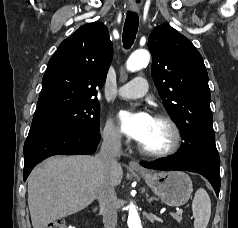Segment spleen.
<instances>
[{"instance_id": "1", "label": "spleen", "mask_w": 238, "mask_h": 228, "mask_svg": "<svg viewBox=\"0 0 238 228\" xmlns=\"http://www.w3.org/2000/svg\"><path fill=\"white\" fill-rule=\"evenodd\" d=\"M194 228H206L211 216V201L205 189L199 188L192 201Z\"/></svg>"}]
</instances>
